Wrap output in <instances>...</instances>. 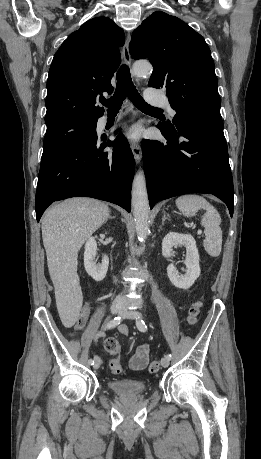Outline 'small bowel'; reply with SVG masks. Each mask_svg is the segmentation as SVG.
Returning <instances> with one entry per match:
<instances>
[{"label":"small bowel","instance_id":"1","mask_svg":"<svg viewBox=\"0 0 261 459\" xmlns=\"http://www.w3.org/2000/svg\"><path fill=\"white\" fill-rule=\"evenodd\" d=\"M91 305L90 302L87 301L84 303L80 315L87 318L90 313ZM119 330L123 334H127L128 330L125 325H121ZM105 337V333L103 331H99L96 333L94 337V342L97 344L99 338ZM149 361V346L147 344L139 345L134 354L130 359V368L135 371L143 370L146 368Z\"/></svg>","mask_w":261,"mask_h":459}]
</instances>
